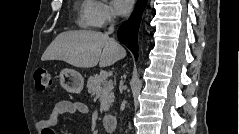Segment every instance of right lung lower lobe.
I'll return each instance as SVG.
<instances>
[{"label": "right lung lower lobe", "instance_id": "right-lung-lower-lobe-1", "mask_svg": "<svg viewBox=\"0 0 239 134\" xmlns=\"http://www.w3.org/2000/svg\"><path fill=\"white\" fill-rule=\"evenodd\" d=\"M145 4L146 0H142L137 11L120 26L117 32L119 41L132 51L136 60L138 58L137 35Z\"/></svg>", "mask_w": 239, "mask_h": 134}]
</instances>
